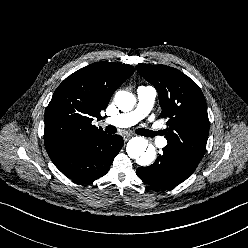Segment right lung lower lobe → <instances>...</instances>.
Here are the masks:
<instances>
[{
	"instance_id": "98d812e1",
	"label": "right lung lower lobe",
	"mask_w": 248,
	"mask_h": 248,
	"mask_svg": "<svg viewBox=\"0 0 248 248\" xmlns=\"http://www.w3.org/2000/svg\"><path fill=\"white\" fill-rule=\"evenodd\" d=\"M122 146L121 136L103 133L65 148L50 158L65 176L85 183L104 176Z\"/></svg>"
}]
</instances>
